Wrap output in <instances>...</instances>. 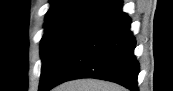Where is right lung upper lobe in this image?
I'll list each match as a JSON object with an SVG mask.
<instances>
[{"label":"right lung upper lobe","instance_id":"right-lung-upper-lobe-1","mask_svg":"<svg viewBox=\"0 0 173 91\" xmlns=\"http://www.w3.org/2000/svg\"><path fill=\"white\" fill-rule=\"evenodd\" d=\"M104 0H51L46 14L45 25L79 21L87 22L98 13L109 8L102 5ZM115 4L120 0H112Z\"/></svg>","mask_w":173,"mask_h":91}]
</instances>
